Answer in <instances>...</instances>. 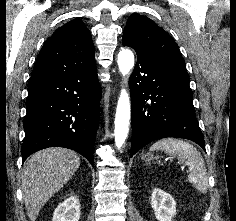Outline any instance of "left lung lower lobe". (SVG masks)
I'll list each match as a JSON object with an SVG mask.
<instances>
[{"mask_svg": "<svg viewBox=\"0 0 236 221\" xmlns=\"http://www.w3.org/2000/svg\"><path fill=\"white\" fill-rule=\"evenodd\" d=\"M136 53L137 64L129 79L132 104L130 155L148 143L166 137L189 139L205 150L188 73L172 64Z\"/></svg>", "mask_w": 236, "mask_h": 221, "instance_id": "obj_1", "label": "left lung lower lobe"}]
</instances>
